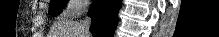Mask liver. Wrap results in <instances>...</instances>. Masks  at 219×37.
<instances>
[{
    "instance_id": "obj_1",
    "label": "liver",
    "mask_w": 219,
    "mask_h": 37,
    "mask_svg": "<svg viewBox=\"0 0 219 37\" xmlns=\"http://www.w3.org/2000/svg\"><path fill=\"white\" fill-rule=\"evenodd\" d=\"M52 37H80L78 34L79 23L74 21L60 22L55 27Z\"/></svg>"
}]
</instances>
